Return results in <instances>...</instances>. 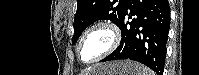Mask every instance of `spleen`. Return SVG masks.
I'll list each match as a JSON object with an SVG mask.
<instances>
[{"mask_svg": "<svg viewBox=\"0 0 199 75\" xmlns=\"http://www.w3.org/2000/svg\"><path fill=\"white\" fill-rule=\"evenodd\" d=\"M142 75H153L152 71L148 68H143Z\"/></svg>", "mask_w": 199, "mask_h": 75, "instance_id": "3e777b00", "label": "spleen"}]
</instances>
